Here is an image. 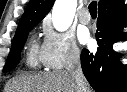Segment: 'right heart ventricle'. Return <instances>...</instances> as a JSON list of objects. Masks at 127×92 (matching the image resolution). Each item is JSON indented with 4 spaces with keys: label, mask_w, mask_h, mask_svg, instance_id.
<instances>
[{
    "label": "right heart ventricle",
    "mask_w": 127,
    "mask_h": 92,
    "mask_svg": "<svg viewBox=\"0 0 127 92\" xmlns=\"http://www.w3.org/2000/svg\"><path fill=\"white\" fill-rule=\"evenodd\" d=\"M41 55L40 49L34 39L31 40L26 55V64L33 69H37L40 65ZM42 62V61H41Z\"/></svg>",
    "instance_id": "right-heart-ventricle-1"
}]
</instances>
